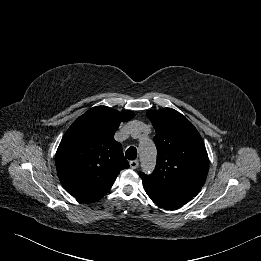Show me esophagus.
Wrapping results in <instances>:
<instances>
[{
    "label": "esophagus",
    "mask_w": 261,
    "mask_h": 261,
    "mask_svg": "<svg viewBox=\"0 0 261 261\" xmlns=\"http://www.w3.org/2000/svg\"><path fill=\"white\" fill-rule=\"evenodd\" d=\"M129 164L132 169H136V168H138L139 162H138V160H133V161H130Z\"/></svg>",
    "instance_id": "obj_1"
}]
</instances>
